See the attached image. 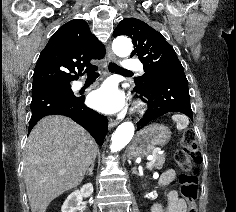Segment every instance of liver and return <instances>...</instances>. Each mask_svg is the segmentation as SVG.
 <instances>
[{"mask_svg": "<svg viewBox=\"0 0 236 212\" xmlns=\"http://www.w3.org/2000/svg\"><path fill=\"white\" fill-rule=\"evenodd\" d=\"M97 151L95 140L72 119L59 115L41 119L28 137L24 158L31 211L45 212L53 199L77 187Z\"/></svg>", "mask_w": 236, "mask_h": 212, "instance_id": "1", "label": "liver"}]
</instances>
